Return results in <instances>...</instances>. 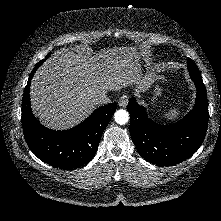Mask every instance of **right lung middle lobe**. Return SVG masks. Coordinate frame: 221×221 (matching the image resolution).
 Listing matches in <instances>:
<instances>
[{
  "instance_id": "1",
  "label": "right lung middle lobe",
  "mask_w": 221,
  "mask_h": 221,
  "mask_svg": "<svg viewBox=\"0 0 221 221\" xmlns=\"http://www.w3.org/2000/svg\"><path fill=\"white\" fill-rule=\"evenodd\" d=\"M49 56V54L45 57V59L41 60L40 62H38L35 66V69H37L46 59L47 57Z\"/></svg>"
}]
</instances>
